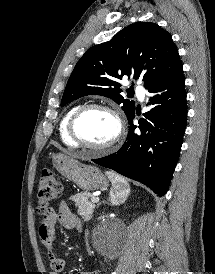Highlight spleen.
<instances>
[{
	"label": "spleen",
	"mask_w": 215,
	"mask_h": 274,
	"mask_svg": "<svg viewBox=\"0 0 215 274\" xmlns=\"http://www.w3.org/2000/svg\"><path fill=\"white\" fill-rule=\"evenodd\" d=\"M106 175L112 183V189L110 191V201L114 205H118L124 193L127 191L126 188H129L128 182L120 175L107 171Z\"/></svg>",
	"instance_id": "3e777b00"
}]
</instances>
